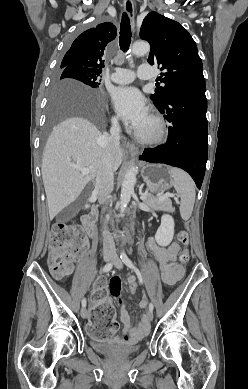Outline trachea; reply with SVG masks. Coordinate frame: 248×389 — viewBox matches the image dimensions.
<instances>
[{"instance_id": "obj_1", "label": "trachea", "mask_w": 248, "mask_h": 389, "mask_svg": "<svg viewBox=\"0 0 248 389\" xmlns=\"http://www.w3.org/2000/svg\"><path fill=\"white\" fill-rule=\"evenodd\" d=\"M131 43V27H130V21L127 13H123L122 20L120 24V37H119V44L120 49L123 52H127L129 49Z\"/></svg>"}]
</instances>
